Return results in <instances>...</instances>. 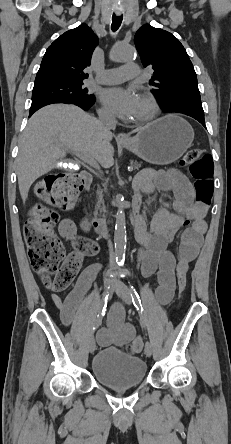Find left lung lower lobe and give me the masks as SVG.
Listing matches in <instances>:
<instances>
[{
    "label": "left lung lower lobe",
    "mask_w": 231,
    "mask_h": 444,
    "mask_svg": "<svg viewBox=\"0 0 231 444\" xmlns=\"http://www.w3.org/2000/svg\"><path fill=\"white\" fill-rule=\"evenodd\" d=\"M186 115H189L194 119L198 120L205 127L204 115H197V114H186Z\"/></svg>",
    "instance_id": "obj_1"
}]
</instances>
